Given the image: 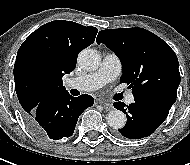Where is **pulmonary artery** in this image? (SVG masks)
Here are the masks:
<instances>
[{
  "label": "pulmonary artery",
  "mask_w": 190,
  "mask_h": 165,
  "mask_svg": "<svg viewBox=\"0 0 190 165\" xmlns=\"http://www.w3.org/2000/svg\"><path fill=\"white\" fill-rule=\"evenodd\" d=\"M122 63L120 58L113 54H107L95 72L71 78L66 82L67 87L75 88L81 91H93L103 85L115 80L121 73ZM134 102V96L129 94L126 97V103L131 104Z\"/></svg>",
  "instance_id": "1"
}]
</instances>
